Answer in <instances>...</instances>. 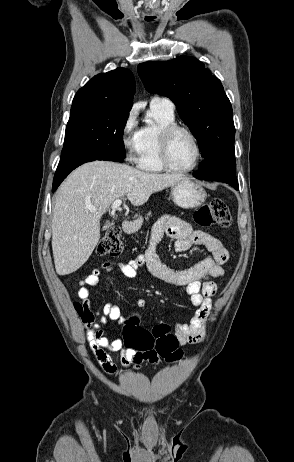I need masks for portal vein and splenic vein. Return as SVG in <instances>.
I'll return each instance as SVG.
<instances>
[{"label":"portal vein and splenic vein","mask_w":294,"mask_h":462,"mask_svg":"<svg viewBox=\"0 0 294 462\" xmlns=\"http://www.w3.org/2000/svg\"><path fill=\"white\" fill-rule=\"evenodd\" d=\"M121 204H122V200L117 199V200H115V201L112 203L111 209H112L113 211H115L116 209H118V208L121 206ZM89 210H90L91 212H96V211H97V209L94 208V207H89Z\"/></svg>","instance_id":"portal-vein-and-splenic-vein-1"}]
</instances>
